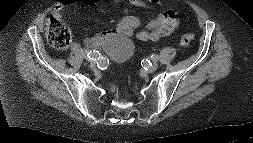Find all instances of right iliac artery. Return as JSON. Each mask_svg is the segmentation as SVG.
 I'll return each mask as SVG.
<instances>
[{
    "label": "right iliac artery",
    "instance_id": "1",
    "mask_svg": "<svg viewBox=\"0 0 253 143\" xmlns=\"http://www.w3.org/2000/svg\"><path fill=\"white\" fill-rule=\"evenodd\" d=\"M86 57L88 60H99L101 56H100L99 51L93 50V51H89Z\"/></svg>",
    "mask_w": 253,
    "mask_h": 143
}]
</instances>
